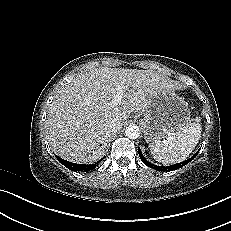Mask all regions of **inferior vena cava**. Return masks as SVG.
<instances>
[{"label": "inferior vena cava", "mask_w": 231, "mask_h": 231, "mask_svg": "<svg viewBox=\"0 0 231 231\" xmlns=\"http://www.w3.org/2000/svg\"><path fill=\"white\" fill-rule=\"evenodd\" d=\"M120 129L121 127L117 123H111L106 126V130L110 135L116 134Z\"/></svg>", "instance_id": "602c4592"}]
</instances>
